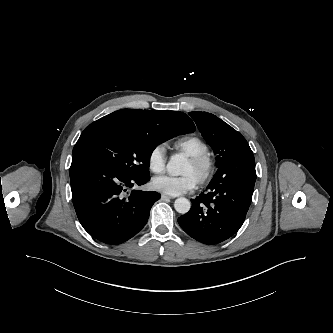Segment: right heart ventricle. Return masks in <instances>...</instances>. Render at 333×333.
<instances>
[{
  "label": "right heart ventricle",
  "instance_id": "right-heart-ventricle-1",
  "mask_svg": "<svg viewBox=\"0 0 333 333\" xmlns=\"http://www.w3.org/2000/svg\"><path fill=\"white\" fill-rule=\"evenodd\" d=\"M172 147L187 156L208 154V145L199 137L186 135L172 142Z\"/></svg>",
  "mask_w": 333,
  "mask_h": 333
}]
</instances>
